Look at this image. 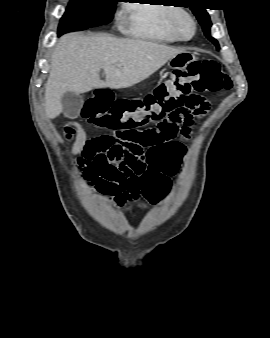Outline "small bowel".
Here are the masks:
<instances>
[{
	"mask_svg": "<svg viewBox=\"0 0 270 338\" xmlns=\"http://www.w3.org/2000/svg\"><path fill=\"white\" fill-rule=\"evenodd\" d=\"M169 121L170 119L164 120V122ZM64 131L67 137L75 136L71 153L77 156L75 164L83 189L88 193L94 192L98 196L107 194L103 188L107 173L133 151L136 157L141 152L138 145L131 144L116 135L99 134L88 138L83 126L75 121L68 123ZM174 142L176 141L173 139L168 140L161 146ZM153 150L151 148L146 157H149ZM184 152L185 147L181 144L178 151L154 158L152 170L155 178L146 180L140 177L141 187L149 190L154 203L160 202L167 196L171 178L179 171Z\"/></svg>",
	"mask_w": 270,
	"mask_h": 338,
	"instance_id": "1",
	"label": "small bowel"
}]
</instances>
